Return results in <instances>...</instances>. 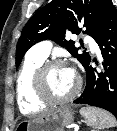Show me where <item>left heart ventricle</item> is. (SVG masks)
I'll use <instances>...</instances> for the list:
<instances>
[{
  "mask_svg": "<svg viewBox=\"0 0 117 131\" xmlns=\"http://www.w3.org/2000/svg\"><path fill=\"white\" fill-rule=\"evenodd\" d=\"M47 88L54 97L69 95L75 88L77 78L65 66L53 68L46 75Z\"/></svg>",
  "mask_w": 117,
  "mask_h": 131,
  "instance_id": "1",
  "label": "left heart ventricle"
}]
</instances>
